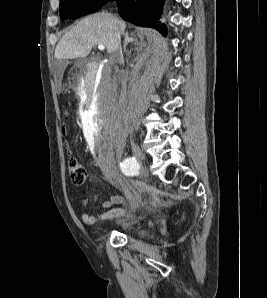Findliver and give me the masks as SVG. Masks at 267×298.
<instances>
[{"label":"liver","instance_id":"6515ba94","mask_svg":"<svg viewBox=\"0 0 267 298\" xmlns=\"http://www.w3.org/2000/svg\"><path fill=\"white\" fill-rule=\"evenodd\" d=\"M126 23L110 13L99 12L83 18L66 32L55 49L57 60L84 58L92 47L102 44L108 53H114L124 33Z\"/></svg>","mask_w":267,"mask_h":298}]
</instances>
